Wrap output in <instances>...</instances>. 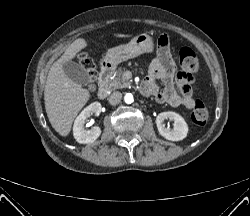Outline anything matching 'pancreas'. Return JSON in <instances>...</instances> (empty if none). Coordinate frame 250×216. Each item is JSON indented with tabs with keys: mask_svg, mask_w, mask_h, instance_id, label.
<instances>
[{
	"mask_svg": "<svg viewBox=\"0 0 250 216\" xmlns=\"http://www.w3.org/2000/svg\"><path fill=\"white\" fill-rule=\"evenodd\" d=\"M125 68H119L112 76L107 79V86L110 89H120L130 86V82H128L123 77V72Z\"/></svg>",
	"mask_w": 250,
	"mask_h": 216,
	"instance_id": "cf45deb5",
	"label": "pancreas"
}]
</instances>
